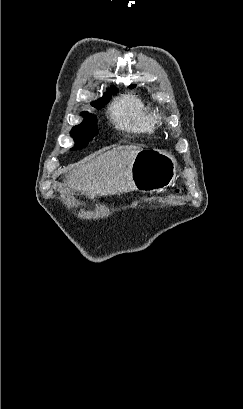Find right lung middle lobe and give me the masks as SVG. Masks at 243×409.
<instances>
[{
  "label": "right lung middle lobe",
  "instance_id": "1",
  "mask_svg": "<svg viewBox=\"0 0 243 409\" xmlns=\"http://www.w3.org/2000/svg\"><path fill=\"white\" fill-rule=\"evenodd\" d=\"M113 93L116 94L117 91ZM110 99L111 95H106L101 102L93 106L97 109H101L105 104L109 102ZM82 116L84 117V121L80 125L73 127L70 132L75 141V146L72 147L71 150L85 148L92 140V138L98 133L97 120L95 116L89 114L88 112H83Z\"/></svg>",
  "mask_w": 243,
  "mask_h": 409
}]
</instances>
